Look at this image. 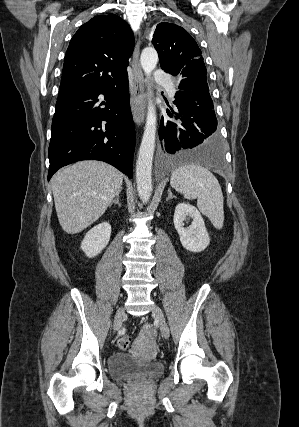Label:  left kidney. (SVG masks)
Listing matches in <instances>:
<instances>
[{"mask_svg": "<svg viewBox=\"0 0 299 427\" xmlns=\"http://www.w3.org/2000/svg\"><path fill=\"white\" fill-rule=\"evenodd\" d=\"M187 217L192 218L191 226L186 229L183 222ZM174 226L177 230L182 246L191 252H201L210 243L204 220L196 207L180 203L175 208Z\"/></svg>", "mask_w": 299, "mask_h": 427, "instance_id": "left-kidney-1", "label": "left kidney"}]
</instances>
